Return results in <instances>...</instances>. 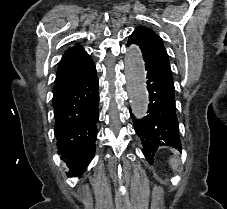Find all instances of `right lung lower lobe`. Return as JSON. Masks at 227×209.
<instances>
[{
    "label": "right lung lower lobe",
    "mask_w": 227,
    "mask_h": 209,
    "mask_svg": "<svg viewBox=\"0 0 227 209\" xmlns=\"http://www.w3.org/2000/svg\"><path fill=\"white\" fill-rule=\"evenodd\" d=\"M77 77L64 92L53 95L58 153L68 166L69 177L80 176L95 154L99 94L96 68L67 65L58 68L55 83Z\"/></svg>",
    "instance_id": "obj_1"
}]
</instances>
